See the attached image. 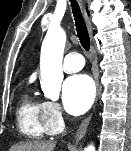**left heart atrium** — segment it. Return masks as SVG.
Returning a JSON list of instances; mask_svg holds the SVG:
<instances>
[{
  "label": "left heart atrium",
  "mask_w": 131,
  "mask_h": 151,
  "mask_svg": "<svg viewBox=\"0 0 131 151\" xmlns=\"http://www.w3.org/2000/svg\"><path fill=\"white\" fill-rule=\"evenodd\" d=\"M95 93L93 80L86 74L69 77L63 84L62 98L71 115L84 113L91 105Z\"/></svg>",
  "instance_id": "obj_1"
}]
</instances>
